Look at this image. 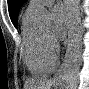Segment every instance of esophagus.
Masks as SVG:
<instances>
[{
  "label": "esophagus",
  "instance_id": "34e87169",
  "mask_svg": "<svg viewBox=\"0 0 89 89\" xmlns=\"http://www.w3.org/2000/svg\"><path fill=\"white\" fill-rule=\"evenodd\" d=\"M67 59H68V55L66 54L62 64L60 65L59 69L57 70L54 78L56 80H61L63 78V74L65 72V69H66V65H67Z\"/></svg>",
  "mask_w": 89,
  "mask_h": 89
}]
</instances>
